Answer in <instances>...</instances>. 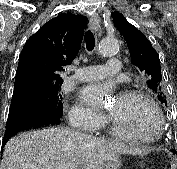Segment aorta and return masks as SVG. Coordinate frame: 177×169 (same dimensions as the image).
I'll list each match as a JSON object with an SVG mask.
<instances>
[{
	"label": "aorta",
	"mask_w": 177,
	"mask_h": 169,
	"mask_svg": "<svg viewBox=\"0 0 177 169\" xmlns=\"http://www.w3.org/2000/svg\"><path fill=\"white\" fill-rule=\"evenodd\" d=\"M99 53L104 57L115 55L119 50L117 39L110 37L103 39L99 44Z\"/></svg>",
	"instance_id": "1"
}]
</instances>
